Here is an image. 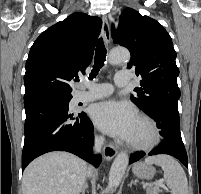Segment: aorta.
Segmentation results:
<instances>
[{"mask_svg":"<svg viewBox=\"0 0 201 194\" xmlns=\"http://www.w3.org/2000/svg\"><path fill=\"white\" fill-rule=\"evenodd\" d=\"M130 60V53L126 48L117 47L113 48L108 57V62L111 65L126 64ZM129 162L127 153L121 152L114 159L109 172L108 189L113 191L116 189L126 171Z\"/></svg>","mask_w":201,"mask_h":194,"instance_id":"762f6f07","label":"aorta"}]
</instances>
